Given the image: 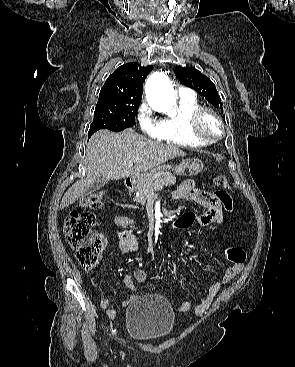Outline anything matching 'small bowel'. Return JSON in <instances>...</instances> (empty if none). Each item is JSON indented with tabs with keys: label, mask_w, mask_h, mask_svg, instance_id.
<instances>
[{
	"label": "small bowel",
	"mask_w": 295,
	"mask_h": 367,
	"mask_svg": "<svg viewBox=\"0 0 295 367\" xmlns=\"http://www.w3.org/2000/svg\"><path fill=\"white\" fill-rule=\"evenodd\" d=\"M174 196L178 199L192 200L205 208V212L197 218V224L201 227L209 226L212 223H220L222 221V209L220 200L217 196H213L211 193L199 189L194 181H184L175 191ZM115 226V234L118 240V244L123 252L129 253L138 250L139 240L137 235L130 230L133 224L131 217L127 215H116L113 219ZM104 245L106 241L103 240ZM244 264L236 265L232 264L225 272L222 282H215L211 284L204 298L194 307V313L196 315H202L205 313L212 304L216 295L220 290L229 283L234 276L240 273ZM147 279L145 271L139 269L133 273V276L127 274L123 278V284L133 293V295L123 302V306L131 304L138 295L135 281L139 283H145ZM95 286H98L97 280L93 281ZM100 307L106 311L109 318L114 319L117 312L110 306L108 299L104 298L100 301ZM191 308L189 302H184L177 308L179 312H186Z\"/></svg>",
	"instance_id": "obj_1"
}]
</instances>
